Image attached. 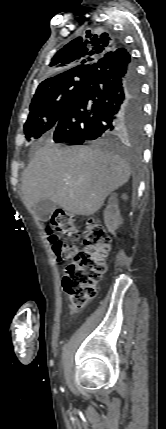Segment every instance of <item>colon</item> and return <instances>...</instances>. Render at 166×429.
I'll list each match as a JSON object with an SVG mask.
<instances>
[{
  "mask_svg": "<svg viewBox=\"0 0 166 429\" xmlns=\"http://www.w3.org/2000/svg\"><path fill=\"white\" fill-rule=\"evenodd\" d=\"M76 217L63 210H56L51 217L52 228L71 240L78 239ZM49 241L58 261L72 260L66 268L62 286L75 308L84 307L95 298L97 284L106 272V257L111 239L98 221H88L84 234V248L78 249L50 233Z\"/></svg>",
  "mask_w": 166,
  "mask_h": 429,
  "instance_id": "colon-1",
  "label": "colon"
}]
</instances>
